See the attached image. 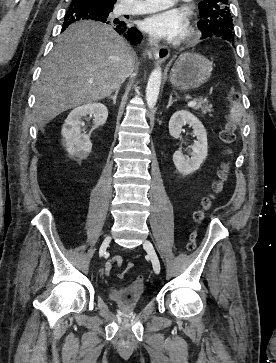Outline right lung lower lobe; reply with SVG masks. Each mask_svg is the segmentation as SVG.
<instances>
[{"label":"right lung lower lobe","instance_id":"obj_1","mask_svg":"<svg viewBox=\"0 0 276 363\" xmlns=\"http://www.w3.org/2000/svg\"><path fill=\"white\" fill-rule=\"evenodd\" d=\"M65 21L62 26L64 31L71 23L79 20H95L103 22L113 26V28L123 37H125L131 44H138L142 40V34L134 27L127 26L124 22L112 21L111 18L103 17L94 7L82 6L69 8L66 15Z\"/></svg>","mask_w":276,"mask_h":363}]
</instances>
